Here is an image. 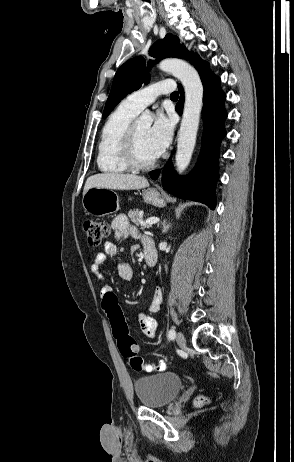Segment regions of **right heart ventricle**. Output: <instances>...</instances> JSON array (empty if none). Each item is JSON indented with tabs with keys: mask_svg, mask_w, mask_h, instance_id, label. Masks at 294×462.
Listing matches in <instances>:
<instances>
[{
	"mask_svg": "<svg viewBox=\"0 0 294 462\" xmlns=\"http://www.w3.org/2000/svg\"><path fill=\"white\" fill-rule=\"evenodd\" d=\"M136 115L121 103L108 117L98 144L97 165L101 172L121 174L129 171L121 159L120 149L124 132Z\"/></svg>",
	"mask_w": 294,
	"mask_h": 462,
	"instance_id": "1",
	"label": "right heart ventricle"
}]
</instances>
